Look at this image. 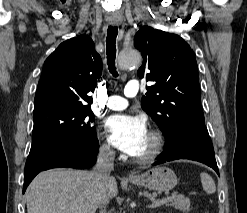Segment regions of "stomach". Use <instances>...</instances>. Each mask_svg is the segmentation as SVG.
Listing matches in <instances>:
<instances>
[{
    "label": "stomach",
    "instance_id": "stomach-1",
    "mask_svg": "<svg viewBox=\"0 0 247 213\" xmlns=\"http://www.w3.org/2000/svg\"><path fill=\"white\" fill-rule=\"evenodd\" d=\"M130 181L137 186L161 192L173 189L177 184V177L170 168L157 166Z\"/></svg>",
    "mask_w": 247,
    "mask_h": 213
}]
</instances>
